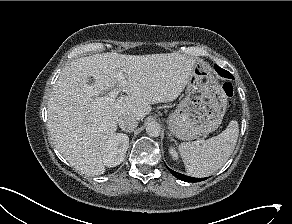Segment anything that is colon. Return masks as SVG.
<instances>
[{"instance_id":"colon-1","label":"colon","mask_w":292,"mask_h":224,"mask_svg":"<svg viewBox=\"0 0 292 224\" xmlns=\"http://www.w3.org/2000/svg\"><path fill=\"white\" fill-rule=\"evenodd\" d=\"M222 89H223V92L224 94L228 97V98H231L233 96V86L231 83L229 82H225L222 84Z\"/></svg>"}]
</instances>
